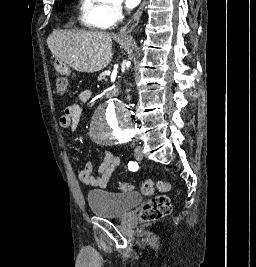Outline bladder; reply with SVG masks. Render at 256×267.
<instances>
[{
	"label": "bladder",
	"instance_id": "1",
	"mask_svg": "<svg viewBox=\"0 0 256 267\" xmlns=\"http://www.w3.org/2000/svg\"><path fill=\"white\" fill-rule=\"evenodd\" d=\"M143 202L141 195H123L111 191H88V203L92 213L99 217L121 218Z\"/></svg>",
	"mask_w": 256,
	"mask_h": 267
}]
</instances>
